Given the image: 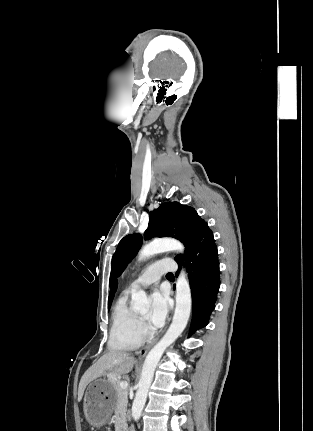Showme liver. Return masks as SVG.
<instances>
[{"mask_svg":"<svg viewBox=\"0 0 313 431\" xmlns=\"http://www.w3.org/2000/svg\"><path fill=\"white\" fill-rule=\"evenodd\" d=\"M135 358L127 352L110 351L95 362L82 376L78 388V402L82 400L86 386L107 374L109 379L128 374L134 367Z\"/></svg>","mask_w":313,"mask_h":431,"instance_id":"6515ba94","label":"liver"}]
</instances>
